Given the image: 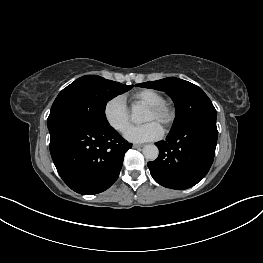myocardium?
I'll return each instance as SVG.
<instances>
[{
  "label": "myocardium",
  "instance_id": "f54148a6",
  "mask_svg": "<svg viewBox=\"0 0 263 263\" xmlns=\"http://www.w3.org/2000/svg\"><path fill=\"white\" fill-rule=\"evenodd\" d=\"M152 112H154L161 120V125L168 129L170 128L176 119L175 107L168 102H160L147 106Z\"/></svg>",
  "mask_w": 263,
  "mask_h": 263
}]
</instances>
